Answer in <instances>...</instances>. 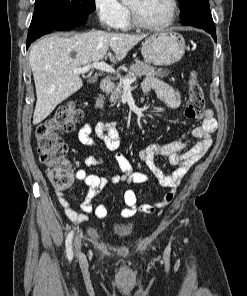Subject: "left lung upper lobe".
Masks as SVG:
<instances>
[{"instance_id":"1","label":"left lung upper lobe","mask_w":247,"mask_h":296,"mask_svg":"<svg viewBox=\"0 0 247 296\" xmlns=\"http://www.w3.org/2000/svg\"><path fill=\"white\" fill-rule=\"evenodd\" d=\"M181 4V14L182 19L186 18L190 14L199 10L203 7H209L208 0H178Z\"/></svg>"}]
</instances>
